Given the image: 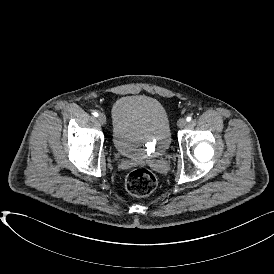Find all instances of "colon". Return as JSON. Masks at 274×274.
<instances>
[{"mask_svg":"<svg viewBox=\"0 0 274 274\" xmlns=\"http://www.w3.org/2000/svg\"><path fill=\"white\" fill-rule=\"evenodd\" d=\"M157 177L148 169H136L128 174L125 185L133 196L145 197L157 187Z\"/></svg>","mask_w":274,"mask_h":274,"instance_id":"obj_1","label":"colon"}]
</instances>
